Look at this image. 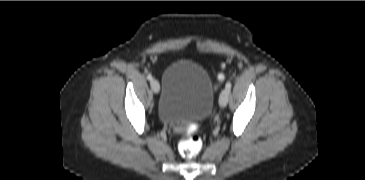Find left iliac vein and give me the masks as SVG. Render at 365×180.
<instances>
[{"mask_svg":"<svg viewBox=\"0 0 365 180\" xmlns=\"http://www.w3.org/2000/svg\"><path fill=\"white\" fill-rule=\"evenodd\" d=\"M228 98H229V91L225 88L219 97V105L221 107H225L228 103Z\"/></svg>","mask_w":365,"mask_h":180,"instance_id":"obj_1","label":"left iliac vein"}]
</instances>
